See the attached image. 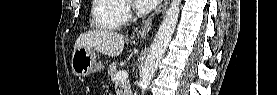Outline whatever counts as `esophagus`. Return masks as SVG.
<instances>
[{
  "label": "esophagus",
  "mask_w": 277,
  "mask_h": 95,
  "mask_svg": "<svg viewBox=\"0 0 277 95\" xmlns=\"http://www.w3.org/2000/svg\"><path fill=\"white\" fill-rule=\"evenodd\" d=\"M168 0H163L162 3L160 4V6L158 7V9L154 12V14L146 21V23L144 24L143 28L138 32V37L140 38H145L149 31L151 30L152 27V20L153 18L159 14V13H164L167 9L168 6Z\"/></svg>",
  "instance_id": "1"
}]
</instances>
